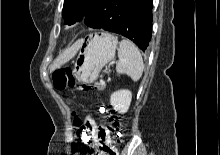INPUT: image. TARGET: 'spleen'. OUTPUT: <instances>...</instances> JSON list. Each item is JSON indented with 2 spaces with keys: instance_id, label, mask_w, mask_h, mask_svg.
<instances>
[{
  "instance_id": "1",
  "label": "spleen",
  "mask_w": 220,
  "mask_h": 155,
  "mask_svg": "<svg viewBox=\"0 0 220 155\" xmlns=\"http://www.w3.org/2000/svg\"><path fill=\"white\" fill-rule=\"evenodd\" d=\"M118 58L116 72L128 75L134 82L138 81L142 76L144 64L135 44L128 39H123L120 42Z\"/></svg>"
}]
</instances>
